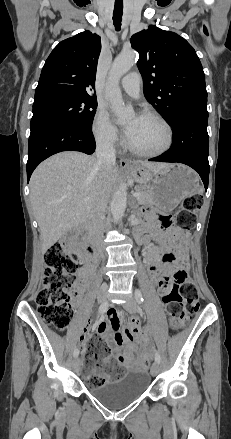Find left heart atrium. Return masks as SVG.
<instances>
[{
    "label": "left heart atrium",
    "mask_w": 231,
    "mask_h": 439,
    "mask_svg": "<svg viewBox=\"0 0 231 439\" xmlns=\"http://www.w3.org/2000/svg\"><path fill=\"white\" fill-rule=\"evenodd\" d=\"M134 125H135V122L129 124V125L126 126V128H125V135H126L127 140L130 139V137H131V135H132V133H133Z\"/></svg>",
    "instance_id": "obj_1"
}]
</instances>
